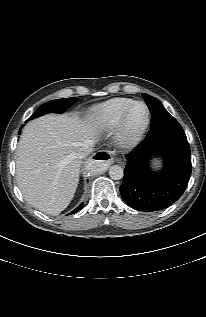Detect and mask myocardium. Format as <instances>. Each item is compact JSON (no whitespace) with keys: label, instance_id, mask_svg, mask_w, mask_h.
<instances>
[{"label":"myocardium","instance_id":"f54148a6","mask_svg":"<svg viewBox=\"0 0 206 317\" xmlns=\"http://www.w3.org/2000/svg\"><path fill=\"white\" fill-rule=\"evenodd\" d=\"M137 105H143L146 109V117L141 125L130 129L128 124L129 116ZM150 123V109L145 102L134 101L122 113L115 129V138L119 146L129 148L137 144L143 137Z\"/></svg>","mask_w":206,"mask_h":317}]
</instances>
